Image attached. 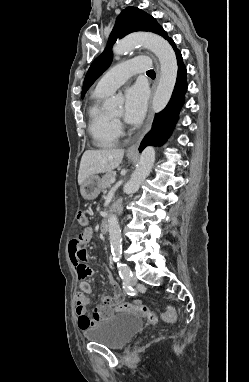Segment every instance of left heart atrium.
Segmentation results:
<instances>
[{"instance_id":"39dd6f15","label":"left heart atrium","mask_w":249,"mask_h":382,"mask_svg":"<svg viewBox=\"0 0 249 382\" xmlns=\"http://www.w3.org/2000/svg\"><path fill=\"white\" fill-rule=\"evenodd\" d=\"M147 107V93L140 85H134L125 93L124 118L130 124L142 121Z\"/></svg>"}]
</instances>
